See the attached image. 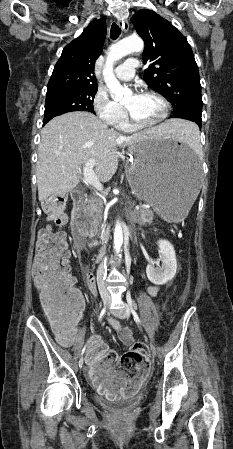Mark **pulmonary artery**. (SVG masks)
I'll return each instance as SVG.
<instances>
[{
    "label": "pulmonary artery",
    "mask_w": 233,
    "mask_h": 449,
    "mask_svg": "<svg viewBox=\"0 0 233 449\" xmlns=\"http://www.w3.org/2000/svg\"><path fill=\"white\" fill-rule=\"evenodd\" d=\"M138 61L134 58L125 60L115 69V75L119 80L129 81L133 78L136 69L138 68Z\"/></svg>",
    "instance_id": "obj_1"
}]
</instances>
